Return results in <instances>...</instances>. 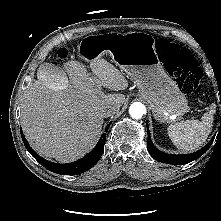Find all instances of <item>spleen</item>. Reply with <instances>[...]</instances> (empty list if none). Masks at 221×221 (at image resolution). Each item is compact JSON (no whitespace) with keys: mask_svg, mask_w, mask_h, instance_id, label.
<instances>
[{"mask_svg":"<svg viewBox=\"0 0 221 221\" xmlns=\"http://www.w3.org/2000/svg\"><path fill=\"white\" fill-rule=\"evenodd\" d=\"M216 105L213 103L200 120H186L168 127L167 132L173 144L183 151L200 148L212 131Z\"/></svg>","mask_w":221,"mask_h":221,"instance_id":"1","label":"spleen"}]
</instances>
